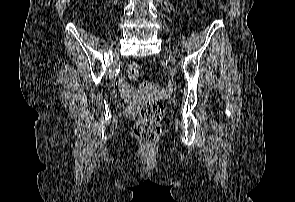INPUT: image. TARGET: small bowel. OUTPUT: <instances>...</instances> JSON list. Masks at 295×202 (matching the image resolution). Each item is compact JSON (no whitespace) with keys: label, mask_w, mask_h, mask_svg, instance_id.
<instances>
[{"label":"small bowel","mask_w":295,"mask_h":202,"mask_svg":"<svg viewBox=\"0 0 295 202\" xmlns=\"http://www.w3.org/2000/svg\"><path fill=\"white\" fill-rule=\"evenodd\" d=\"M118 98H126L124 107H138V103H148V98H143V93H132L134 85L130 81H117Z\"/></svg>","instance_id":"1"}]
</instances>
